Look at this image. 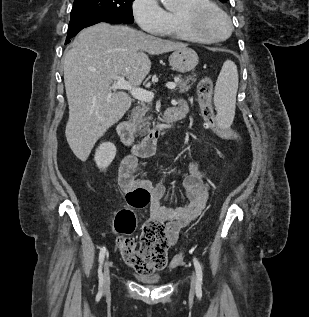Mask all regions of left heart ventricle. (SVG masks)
<instances>
[{
  "instance_id": "obj_1",
  "label": "left heart ventricle",
  "mask_w": 309,
  "mask_h": 317,
  "mask_svg": "<svg viewBox=\"0 0 309 317\" xmlns=\"http://www.w3.org/2000/svg\"><path fill=\"white\" fill-rule=\"evenodd\" d=\"M198 27L203 32L223 35L226 32V25L223 19L217 15H206L198 24Z\"/></svg>"
}]
</instances>
